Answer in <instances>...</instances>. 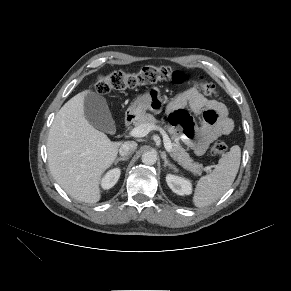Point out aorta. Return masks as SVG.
Segmentation results:
<instances>
[{
    "mask_svg": "<svg viewBox=\"0 0 291 291\" xmlns=\"http://www.w3.org/2000/svg\"><path fill=\"white\" fill-rule=\"evenodd\" d=\"M142 162L146 165H154L157 161L156 153L152 151H147L142 155Z\"/></svg>",
    "mask_w": 291,
    "mask_h": 291,
    "instance_id": "1",
    "label": "aorta"
}]
</instances>
